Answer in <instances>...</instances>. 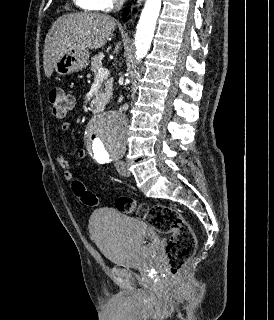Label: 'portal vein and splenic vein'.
<instances>
[{
    "label": "portal vein and splenic vein",
    "mask_w": 274,
    "mask_h": 320,
    "mask_svg": "<svg viewBox=\"0 0 274 320\" xmlns=\"http://www.w3.org/2000/svg\"><path fill=\"white\" fill-rule=\"evenodd\" d=\"M107 76H109V70H103V68H100L96 78H107Z\"/></svg>",
    "instance_id": "18ae733b"
}]
</instances>
